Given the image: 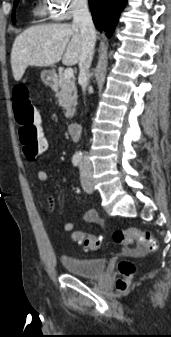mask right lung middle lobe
I'll return each mask as SVG.
<instances>
[{"mask_svg":"<svg viewBox=\"0 0 171 337\" xmlns=\"http://www.w3.org/2000/svg\"><path fill=\"white\" fill-rule=\"evenodd\" d=\"M19 0H14V10H15V7L17 6ZM12 20H13V23H15V13L13 12L12 14Z\"/></svg>","mask_w":171,"mask_h":337,"instance_id":"obj_1","label":"right lung middle lobe"}]
</instances>
